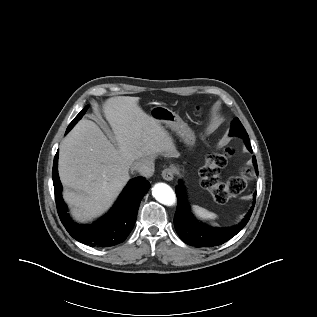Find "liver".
Listing matches in <instances>:
<instances>
[{"label": "liver", "mask_w": 317, "mask_h": 317, "mask_svg": "<svg viewBox=\"0 0 317 317\" xmlns=\"http://www.w3.org/2000/svg\"><path fill=\"white\" fill-rule=\"evenodd\" d=\"M139 97L116 96L103 105L114 136L108 139L91 120H81L60 145L58 170L63 197L78 221L107 211L136 161L159 154L179 157L172 136L139 106Z\"/></svg>", "instance_id": "6515ba94"}]
</instances>
